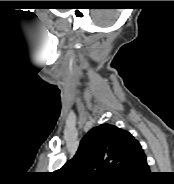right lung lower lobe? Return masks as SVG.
<instances>
[{
    "label": "right lung lower lobe",
    "instance_id": "right-lung-lower-lobe-1",
    "mask_svg": "<svg viewBox=\"0 0 174 184\" xmlns=\"http://www.w3.org/2000/svg\"><path fill=\"white\" fill-rule=\"evenodd\" d=\"M149 166L146 157L131 171L124 179L117 182L118 184H144L150 176Z\"/></svg>",
    "mask_w": 174,
    "mask_h": 184
}]
</instances>
